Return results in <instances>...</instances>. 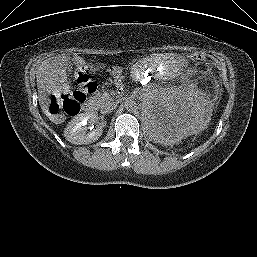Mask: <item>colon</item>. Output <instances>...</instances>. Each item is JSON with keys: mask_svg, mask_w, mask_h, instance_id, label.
I'll return each instance as SVG.
<instances>
[{"mask_svg": "<svg viewBox=\"0 0 257 257\" xmlns=\"http://www.w3.org/2000/svg\"><path fill=\"white\" fill-rule=\"evenodd\" d=\"M191 59L202 62L206 57L203 53L194 52L191 54ZM93 72L94 70L89 66L82 67L77 73L75 85L72 88H67L61 95L50 98L48 103L50 112L54 115L61 112L69 115L78 113L87 95L96 90L97 84L93 80Z\"/></svg>", "mask_w": 257, "mask_h": 257, "instance_id": "obj_1", "label": "colon"}]
</instances>
